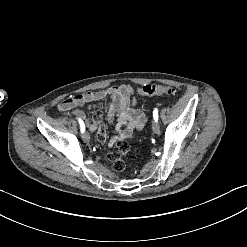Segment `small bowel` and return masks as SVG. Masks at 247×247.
<instances>
[{
    "label": "small bowel",
    "instance_id": "1",
    "mask_svg": "<svg viewBox=\"0 0 247 247\" xmlns=\"http://www.w3.org/2000/svg\"><path fill=\"white\" fill-rule=\"evenodd\" d=\"M103 106L108 111V119L114 123V135L109 141V147H115V151L108 150L105 158L113 161V166L118 173L126 170L125 161L121 154L127 153L131 149V140L136 131L142 129L147 123L146 114L135 107L134 89L129 84L113 85L106 90L88 91L72 95L58 104V110L65 114L72 112L76 117L86 121L89 130H95L99 122L98 117L93 120H87L85 114L77 108L89 105L94 102H103ZM104 129V128H100ZM99 129V130H100ZM98 144H105L108 136L105 133H98L95 136Z\"/></svg>",
    "mask_w": 247,
    "mask_h": 247
}]
</instances>
